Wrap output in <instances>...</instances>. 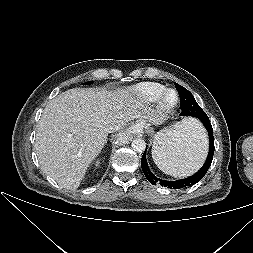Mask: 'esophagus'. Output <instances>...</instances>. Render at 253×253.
I'll use <instances>...</instances> for the list:
<instances>
[{
	"instance_id": "34e87169",
	"label": "esophagus",
	"mask_w": 253,
	"mask_h": 253,
	"mask_svg": "<svg viewBox=\"0 0 253 253\" xmlns=\"http://www.w3.org/2000/svg\"><path fill=\"white\" fill-rule=\"evenodd\" d=\"M139 126L138 125H133L130 127V132L131 133H136V132H139Z\"/></svg>"
}]
</instances>
